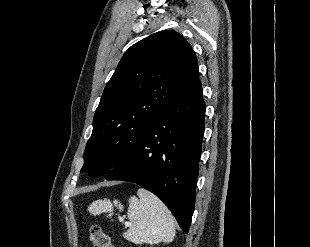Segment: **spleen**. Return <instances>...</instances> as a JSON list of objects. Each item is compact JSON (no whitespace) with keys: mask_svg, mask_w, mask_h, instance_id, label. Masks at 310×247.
I'll return each instance as SVG.
<instances>
[{"mask_svg":"<svg viewBox=\"0 0 310 247\" xmlns=\"http://www.w3.org/2000/svg\"><path fill=\"white\" fill-rule=\"evenodd\" d=\"M136 196L129 198L128 218L129 229L124 238L135 244L170 243L175 237V221L170 210L154 194L143 188L138 189ZM113 205L120 211L123 206L119 201L97 200L88 210L93 215L113 210Z\"/></svg>","mask_w":310,"mask_h":247,"instance_id":"obj_1","label":"spleen"}]
</instances>
